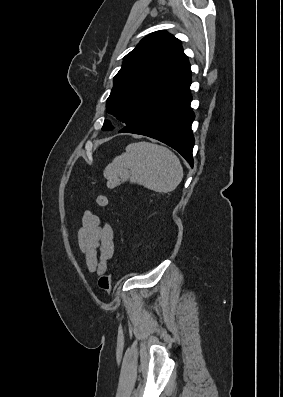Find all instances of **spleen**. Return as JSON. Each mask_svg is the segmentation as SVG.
I'll use <instances>...</instances> for the list:
<instances>
[{"instance_id": "1", "label": "spleen", "mask_w": 283, "mask_h": 397, "mask_svg": "<svg viewBox=\"0 0 283 397\" xmlns=\"http://www.w3.org/2000/svg\"><path fill=\"white\" fill-rule=\"evenodd\" d=\"M103 175L111 188L130 181L158 193H169L180 184L183 168L168 148L142 141L129 144L106 166Z\"/></svg>"}]
</instances>
